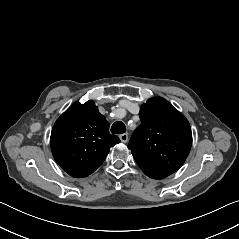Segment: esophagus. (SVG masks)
<instances>
[{
	"instance_id": "34e87169",
	"label": "esophagus",
	"mask_w": 239,
	"mask_h": 239,
	"mask_svg": "<svg viewBox=\"0 0 239 239\" xmlns=\"http://www.w3.org/2000/svg\"><path fill=\"white\" fill-rule=\"evenodd\" d=\"M119 138L123 143H126L128 141V133H123L119 135Z\"/></svg>"
}]
</instances>
